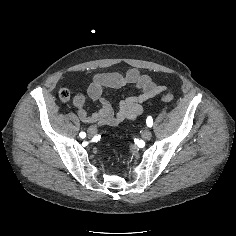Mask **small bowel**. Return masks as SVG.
<instances>
[{"label": "small bowel", "mask_w": 236, "mask_h": 236, "mask_svg": "<svg viewBox=\"0 0 236 236\" xmlns=\"http://www.w3.org/2000/svg\"><path fill=\"white\" fill-rule=\"evenodd\" d=\"M126 85H133L140 90V93L121 101L117 111H114L111 103L103 96V91L106 88L119 89ZM165 90L166 86L155 83L150 76L136 68L128 70L124 75L117 72L98 73L93 76L87 88V95L93 102L101 104L100 109L92 114L87 113L86 99L81 93L75 95L73 104L82 122L117 126L140 116L143 113V104Z\"/></svg>", "instance_id": "small-bowel-1"}]
</instances>
